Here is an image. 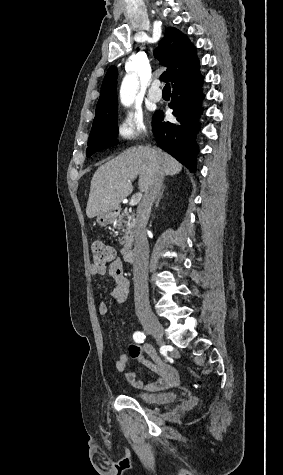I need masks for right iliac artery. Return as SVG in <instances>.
<instances>
[{"label":"right iliac artery","instance_id":"right-iliac-artery-1","mask_svg":"<svg viewBox=\"0 0 283 475\" xmlns=\"http://www.w3.org/2000/svg\"><path fill=\"white\" fill-rule=\"evenodd\" d=\"M145 338H146V336H145V334L142 333V332H135L134 335H133V339H134L137 343H143Z\"/></svg>","mask_w":283,"mask_h":475}]
</instances>
